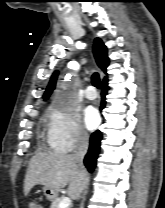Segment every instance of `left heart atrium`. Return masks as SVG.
I'll list each match as a JSON object with an SVG mask.
<instances>
[{
  "mask_svg": "<svg viewBox=\"0 0 165 208\" xmlns=\"http://www.w3.org/2000/svg\"><path fill=\"white\" fill-rule=\"evenodd\" d=\"M84 122L88 129H94L99 123V114L94 107H88L84 111Z\"/></svg>",
  "mask_w": 165,
  "mask_h": 208,
  "instance_id": "obj_1",
  "label": "left heart atrium"
}]
</instances>
